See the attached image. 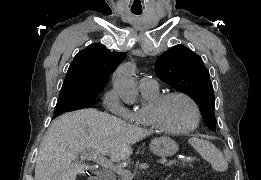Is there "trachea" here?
I'll use <instances>...</instances> for the list:
<instances>
[{
	"label": "trachea",
	"mask_w": 261,
	"mask_h": 180,
	"mask_svg": "<svg viewBox=\"0 0 261 180\" xmlns=\"http://www.w3.org/2000/svg\"><path fill=\"white\" fill-rule=\"evenodd\" d=\"M132 13H134L135 15H140L142 13V10L141 11H132Z\"/></svg>",
	"instance_id": "trachea-1"
}]
</instances>
